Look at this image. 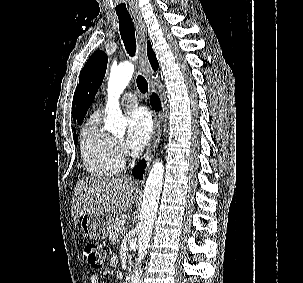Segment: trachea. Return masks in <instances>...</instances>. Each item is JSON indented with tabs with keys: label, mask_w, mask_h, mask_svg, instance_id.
<instances>
[{
	"label": "trachea",
	"mask_w": 303,
	"mask_h": 283,
	"mask_svg": "<svg viewBox=\"0 0 303 283\" xmlns=\"http://www.w3.org/2000/svg\"><path fill=\"white\" fill-rule=\"evenodd\" d=\"M119 30L127 53L134 57L136 54V38L135 29L131 17L118 16ZM137 87L141 93L148 91V83L142 75H138L136 79Z\"/></svg>",
	"instance_id": "3493384b"
}]
</instances>
